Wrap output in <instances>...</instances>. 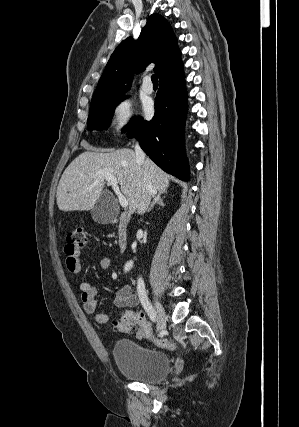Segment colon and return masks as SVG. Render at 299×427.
<instances>
[{
	"mask_svg": "<svg viewBox=\"0 0 299 427\" xmlns=\"http://www.w3.org/2000/svg\"><path fill=\"white\" fill-rule=\"evenodd\" d=\"M86 244V234L83 228H76L70 231L67 235V244L64 250L69 254H75L82 249ZM141 329L144 334H150L151 329L148 322L136 312H125L121 315L118 322L115 323V328L119 332L128 333L136 329ZM137 329V330H138ZM155 343L162 348L174 349V343L167 339H155Z\"/></svg>",
	"mask_w": 299,
	"mask_h": 427,
	"instance_id": "1",
	"label": "colon"
}]
</instances>
